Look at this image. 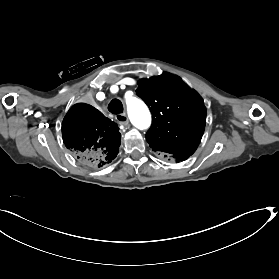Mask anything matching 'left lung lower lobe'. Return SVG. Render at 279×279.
<instances>
[{
    "instance_id": "1",
    "label": "left lung lower lobe",
    "mask_w": 279,
    "mask_h": 279,
    "mask_svg": "<svg viewBox=\"0 0 279 279\" xmlns=\"http://www.w3.org/2000/svg\"><path fill=\"white\" fill-rule=\"evenodd\" d=\"M188 158V156H175L174 159L176 162H180L183 160H186Z\"/></svg>"
}]
</instances>
